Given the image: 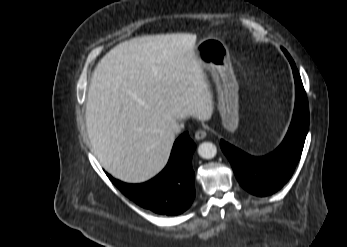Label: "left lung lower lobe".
Wrapping results in <instances>:
<instances>
[{
  "instance_id": "obj_1",
  "label": "left lung lower lobe",
  "mask_w": 347,
  "mask_h": 247,
  "mask_svg": "<svg viewBox=\"0 0 347 247\" xmlns=\"http://www.w3.org/2000/svg\"><path fill=\"white\" fill-rule=\"evenodd\" d=\"M293 69L296 85V101L289 130L272 153L253 157L224 140L221 149L230 161L241 186L257 196H267L278 191L291 178L300 160L309 127V109L306 93L289 53L283 49Z\"/></svg>"
}]
</instances>
